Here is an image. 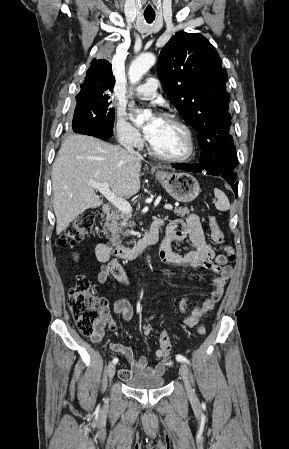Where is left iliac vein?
Returning <instances> with one entry per match:
<instances>
[{"instance_id":"left-iliac-vein-1","label":"left iliac vein","mask_w":289,"mask_h":449,"mask_svg":"<svg viewBox=\"0 0 289 449\" xmlns=\"http://www.w3.org/2000/svg\"><path fill=\"white\" fill-rule=\"evenodd\" d=\"M179 373L184 381L186 391L189 396H193V389L189 380V368L185 363H181L179 367Z\"/></svg>"}]
</instances>
